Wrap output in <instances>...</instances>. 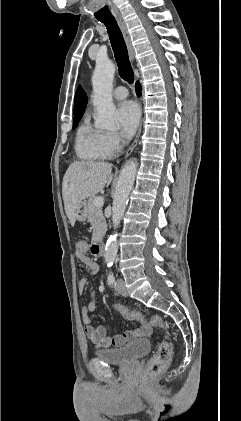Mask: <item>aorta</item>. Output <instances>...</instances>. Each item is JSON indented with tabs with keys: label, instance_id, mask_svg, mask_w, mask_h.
Here are the masks:
<instances>
[{
	"label": "aorta",
	"instance_id": "aorta-1",
	"mask_svg": "<svg viewBox=\"0 0 241 421\" xmlns=\"http://www.w3.org/2000/svg\"><path fill=\"white\" fill-rule=\"evenodd\" d=\"M115 65L111 60H97L92 76L93 104L97 110L95 125L101 129L112 130L116 127L114 116L116 108L112 100ZM137 163L128 161L119 176L112 206V223L116 230L124 215L130 191L133 187ZM118 251L117 234L110 235L105 249V262L112 265Z\"/></svg>",
	"mask_w": 241,
	"mask_h": 421
}]
</instances>
